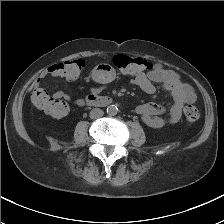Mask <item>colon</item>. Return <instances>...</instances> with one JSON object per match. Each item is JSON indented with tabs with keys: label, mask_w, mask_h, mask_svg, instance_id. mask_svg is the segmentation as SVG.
I'll return each mask as SVG.
<instances>
[{
	"label": "colon",
	"mask_w": 224,
	"mask_h": 224,
	"mask_svg": "<svg viewBox=\"0 0 224 224\" xmlns=\"http://www.w3.org/2000/svg\"><path fill=\"white\" fill-rule=\"evenodd\" d=\"M113 64L128 76H136L153 68V65L145 59L127 55L114 56ZM84 66L85 62L82 59H69L57 63L56 69L61 77L74 80L80 75ZM32 102L38 109L54 118H62L69 112V105L66 101L54 98L42 89L33 92ZM183 114L189 123H194L200 118V112L194 105H186Z\"/></svg>",
	"instance_id": "5ec220e1"
}]
</instances>
